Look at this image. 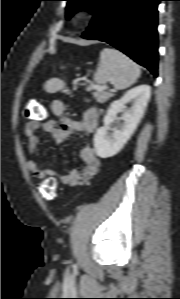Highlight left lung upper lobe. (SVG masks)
<instances>
[{"label": "left lung upper lobe", "mask_w": 180, "mask_h": 299, "mask_svg": "<svg viewBox=\"0 0 180 299\" xmlns=\"http://www.w3.org/2000/svg\"><path fill=\"white\" fill-rule=\"evenodd\" d=\"M66 18L69 19L74 13L79 10L86 9L90 13L96 9L101 0H66Z\"/></svg>", "instance_id": "left-lung-upper-lobe-1"}]
</instances>
